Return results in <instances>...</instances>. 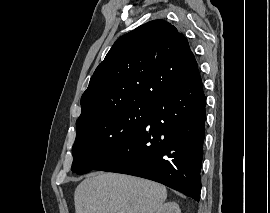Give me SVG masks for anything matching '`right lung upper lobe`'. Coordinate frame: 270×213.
<instances>
[{
    "instance_id": "1",
    "label": "right lung upper lobe",
    "mask_w": 270,
    "mask_h": 213,
    "mask_svg": "<svg viewBox=\"0 0 270 213\" xmlns=\"http://www.w3.org/2000/svg\"><path fill=\"white\" fill-rule=\"evenodd\" d=\"M197 69L187 38L173 25L145 23L117 39L96 68L76 123L132 102L155 104Z\"/></svg>"
}]
</instances>
